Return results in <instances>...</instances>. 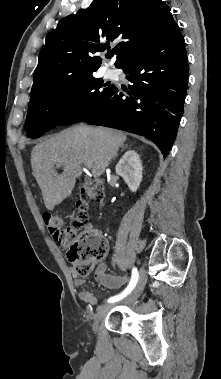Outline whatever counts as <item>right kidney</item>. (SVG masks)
<instances>
[{"instance_id": "1", "label": "right kidney", "mask_w": 221, "mask_h": 379, "mask_svg": "<svg viewBox=\"0 0 221 379\" xmlns=\"http://www.w3.org/2000/svg\"><path fill=\"white\" fill-rule=\"evenodd\" d=\"M142 171V162L134 150L127 151L116 165V173L124 179L132 192H136L139 188Z\"/></svg>"}]
</instances>
